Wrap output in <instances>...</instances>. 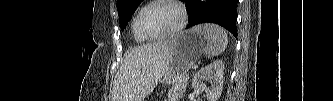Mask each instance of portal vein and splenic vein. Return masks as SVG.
Listing matches in <instances>:
<instances>
[{
  "instance_id": "portal-vein-and-splenic-vein-1",
  "label": "portal vein and splenic vein",
  "mask_w": 333,
  "mask_h": 101,
  "mask_svg": "<svg viewBox=\"0 0 333 101\" xmlns=\"http://www.w3.org/2000/svg\"><path fill=\"white\" fill-rule=\"evenodd\" d=\"M196 68H197V65H193V66H192V69H196Z\"/></svg>"
}]
</instances>
